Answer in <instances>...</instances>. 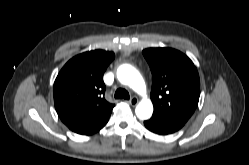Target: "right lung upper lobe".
I'll list each match as a JSON object with an SVG mask.
<instances>
[{
	"label": "right lung upper lobe",
	"instance_id": "1",
	"mask_svg": "<svg viewBox=\"0 0 249 165\" xmlns=\"http://www.w3.org/2000/svg\"><path fill=\"white\" fill-rule=\"evenodd\" d=\"M113 52L94 50L70 59L59 72L53 89L62 122L78 134H91L105 125L114 104L104 98L103 74Z\"/></svg>",
	"mask_w": 249,
	"mask_h": 165
}]
</instances>
